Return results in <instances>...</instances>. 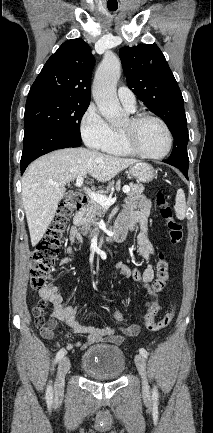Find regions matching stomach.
I'll return each mask as SVG.
<instances>
[{"mask_svg": "<svg viewBox=\"0 0 213 433\" xmlns=\"http://www.w3.org/2000/svg\"><path fill=\"white\" fill-rule=\"evenodd\" d=\"M130 174L140 182H150L155 177V170L153 167L144 162H138L130 166Z\"/></svg>", "mask_w": 213, "mask_h": 433, "instance_id": "obj_1", "label": "stomach"}]
</instances>
